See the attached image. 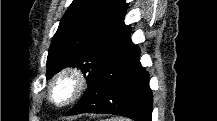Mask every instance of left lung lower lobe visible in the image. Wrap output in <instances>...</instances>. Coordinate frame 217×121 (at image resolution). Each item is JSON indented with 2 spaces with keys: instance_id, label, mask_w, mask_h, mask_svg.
Here are the masks:
<instances>
[{
  "instance_id": "1",
  "label": "left lung lower lobe",
  "mask_w": 217,
  "mask_h": 121,
  "mask_svg": "<svg viewBox=\"0 0 217 121\" xmlns=\"http://www.w3.org/2000/svg\"><path fill=\"white\" fill-rule=\"evenodd\" d=\"M130 33L109 56L80 101L66 115L109 113L136 121H152L149 76L139 61L140 49Z\"/></svg>"
}]
</instances>
